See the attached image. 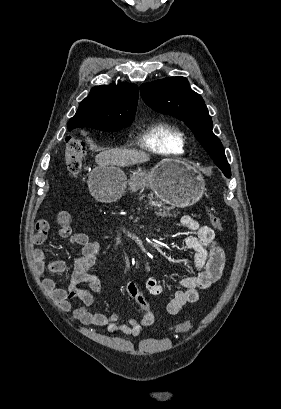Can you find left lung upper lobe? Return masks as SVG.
<instances>
[{"label":"left lung upper lobe","instance_id":"5c2ea615","mask_svg":"<svg viewBox=\"0 0 281 409\" xmlns=\"http://www.w3.org/2000/svg\"><path fill=\"white\" fill-rule=\"evenodd\" d=\"M145 103L153 110L177 117L192 130L226 177L231 176L224 148L212 132V119L202 97L184 77H168L140 86Z\"/></svg>","mask_w":281,"mask_h":409}]
</instances>
